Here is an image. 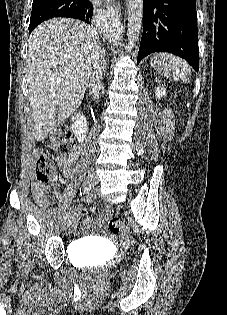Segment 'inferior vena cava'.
<instances>
[{"instance_id":"inferior-vena-cava-1","label":"inferior vena cava","mask_w":227,"mask_h":315,"mask_svg":"<svg viewBox=\"0 0 227 315\" xmlns=\"http://www.w3.org/2000/svg\"><path fill=\"white\" fill-rule=\"evenodd\" d=\"M99 58H102L99 52V56L93 64V73L91 78V92L94 98H99L100 84L102 80V70H104V65L100 62Z\"/></svg>"}]
</instances>
